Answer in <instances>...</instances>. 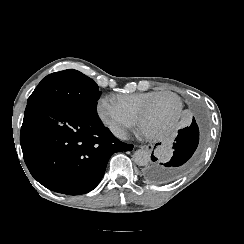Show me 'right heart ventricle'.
<instances>
[{
  "mask_svg": "<svg viewBox=\"0 0 244 244\" xmlns=\"http://www.w3.org/2000/svg\"><path fill=\"white\" fill-rule=\"evenodd\" d=\"M158 93H161L160 91H152V92H147V93H142L139 95L136 94H131L128 96H123V95H109L108 100L112 102L113 104L116 105H130L134 108V110L137 113V118L140 116V112L146 104L154 99L153 97L157 95ZM146 113V112H145ZM144 113V114H145ZM145 117V115H144Z\"/></svg>",
  "mask_w": 244,
  "mask_h": 244,
  "instance_id": "right-heart-ventricle-1",
  "label": "right heart ventricle"
}]
</instances>
